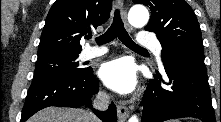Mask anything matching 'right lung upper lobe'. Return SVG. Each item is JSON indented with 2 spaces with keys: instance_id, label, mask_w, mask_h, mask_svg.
I'll list each match as a JSON object with an SVG mask.
<instances>
[{
  "instance_id": "obj_1",
  "label": "right lung upper lobe",
  "mask_w": 221,
  "mask_h": 122,
  "mask_svg": "<svg viewBox=\"0 0 221 122\" xmlns=\"http://www.w3.org/2000/svg\"><path fill=\"white\" fill-rule=\"evenodd\" d=\"M112 0H56L51 7L38 47V59L78 55L81 37L104 24Z\"/></svg>"
}]
</instances>
